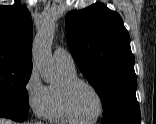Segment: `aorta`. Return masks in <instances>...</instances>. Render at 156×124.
Returning <instances> with one entry per match:
<instances>
[{"mask_svg":"<svg viewBox=\"0 0 156 124\" xmlns=\"http://www.w3.org/2000/svg\"><path fill=\"white\" fill-rule=\"evenodd\" d=\"M55 33V24L52 21L43 23L32 46L33 60L44 81L51 83L57 72L53 64L51 44Z\"/></svg>","mask_w":156,"mask_h":124,"instance_id":"obj_1","label":"aorta"}]
</instances>
